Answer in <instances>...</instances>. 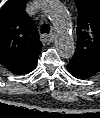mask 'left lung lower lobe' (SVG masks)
<instances>
[{
	"mask_svg": "<svg viewBox=\"0 0 100 118\" xmlns=\"http://www.w3.org/2000/svg\"><path fill=\"white\" fill-rule=\"evenodd\" d=\"M68 71L78 79H87L92 77L96 72L88 69L78 63H75L70 60L69 64L67 65Z\"/></svg>",
	"mask_w": 100,
	"mask_h": 118,
	"instance_id": "1",
	"label": "left lung lower lobe"
}]
</instances>
